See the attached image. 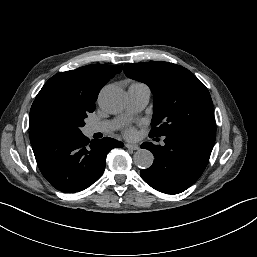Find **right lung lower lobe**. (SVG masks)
Here are the masks:
<instances>
[{"mask_svg":"<svg viewBox=\"0 0 257 257\" xmlns=\"http://www.w3.org/2000/svg\"><path fill=\"white\" fill-rule=\"evenodd\" d=\"M123 143L104 137L90 141L79 135H53L32 145L37 165L56 189L72 193L86 189L104 172L106 156Z\"/></svg>","mask_w":257,"mask_h":257,"instance_id":"right-lung-lower-lobe-1","label":"right lung lower lobe"}]
</instances>
